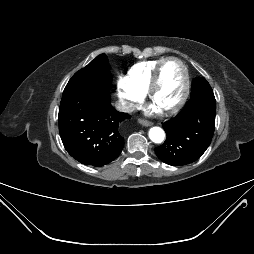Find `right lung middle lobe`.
Here are the masks:
<instances>
[{
  "label": "right lung middle lobe",
  "mask_w": 254,
  "mask_h": 254,
  "mask_svg": "<svg viewBox=\"0 0 254 254\" xmlns=\"http://www.w3.org/2000/svg\"><path fill=\"white\" fill-rule=\"evenodd\" d=\"M112 75L105 54L97 56L86 67L79 70L69 80L65 89L86 86L95 91H109L112 88Z\"/></svg>",
  "instance_id": "obj_1"
}]
</instances>
